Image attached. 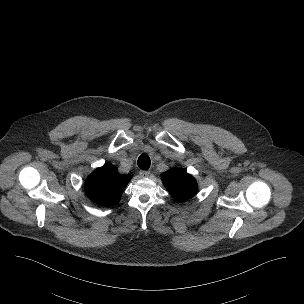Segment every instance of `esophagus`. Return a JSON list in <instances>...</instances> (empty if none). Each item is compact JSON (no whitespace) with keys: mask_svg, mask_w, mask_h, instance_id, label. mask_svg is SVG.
Instances as JSON below:
<instances>
[{"mask_svg":"<svg viewBox=\"0 0 304 304\" xmlns=\"http://www.w3.org/2000/svg\"><path fill=\"white\" fill-rule=\"evenodd\" d=\"M140 177L144 178V177H148L150 175V172L147 170H141L139 172Z\"/></svg>","mask_w":304,"mask_h":304,"instance_id":"obj_1","label":"esophagus"}]
</instances>
